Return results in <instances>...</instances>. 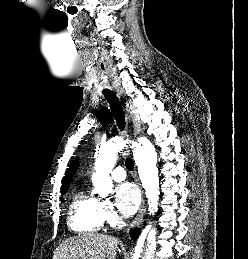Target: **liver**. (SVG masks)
<instances>
[{"instance_id": "liver-1", "label": "liver", "mask_w": 248, "mask_h": 259, "mask_svg": "<svg viewBox=\"0 0 248 259\" xmlns=\"http://www.w3.org/2000/svg\"><path fill=\"white\" fill-rule=\"evenodd\" d=\"M118 244L114 236L85 233L63 241L53 259H115Z\"/></svg>"}]
</instances>
